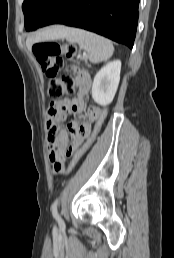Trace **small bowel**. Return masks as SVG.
I'll return each mask as SVG.
<instances>
[{
	"instance_id": "obj_1",
	"label": "small bowel",
	"mask_w": 174,
	"mask_h": 258,
	"mask_svg": "<svg viewBox=\"0 0 174 258\" xmlns=\"http://www.w3.org/2000/svg\"><path fill=\"white\" fill-rule=\"evenodd\" d=\"M79 80V95L73 101L63 99L54 101L47 110V142L49 147L50 159L53 167L52 174L55 178L61 175H67L65 165L68 163V157L77 147L81 145L87 134L91 133L90 127L96 123V118H84V123L79 124L71 121L67 125V129L72 135V142L69 145V135L66 130L59 128L60 123L64 122L69 113L81 112L83 108V97L90 84L91 78L88 73L75 69ZM95 103V102H94ZM99 113L98 104H87L84 117H97Z\"/></svg>"
}]
</instances>
